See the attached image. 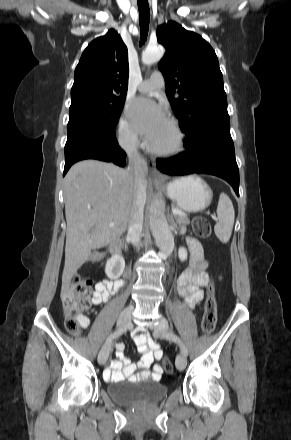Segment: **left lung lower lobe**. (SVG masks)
<instances>
[{
	"mask_svg": "<svg viewBox=\"0 0 291 440\" xmlns=\"http://www.w3.org/2000/svg\"><path fill=\"white\" fill-rule=\"evenodd\" d=\"M186 151L157 168L170 176L211 174L226 180L239 196V170L235 159L230 121L210 123L184 139Z\"/></svg>",
	"mask_w": 291,
	"mask_h": 440,
	"instance_id": "left-lung-lower-lobe-1",
	"label": "left lung lower lobe"
}]
</instances>
